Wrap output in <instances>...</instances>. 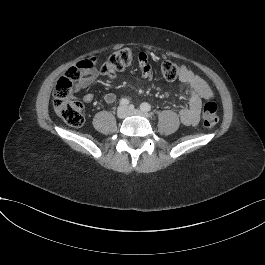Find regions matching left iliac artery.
Listing matches in <instances>:
<instances>
[{"mask_svg": "<svg viewBox=\"0 0 265 265\" xmlns=\"http://www.w3.org/2000/svg\"><path fill=\"white\" fill-rule=\"evenodd\" d=\"M140 109H141L142 111L149 112V111H151V106H150V104L144 102V103H142V104L140 105Z\"/></svg>", "mask_w": 265, "mask_h": 265, "instance_id": "obj_1", "label": "left iliac artery"}]
</instances>
